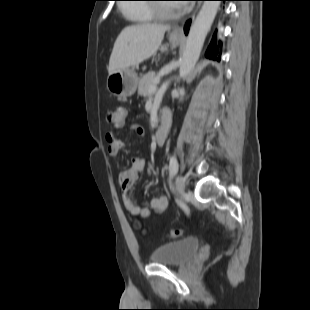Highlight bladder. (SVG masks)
I'll return each mask as SVG.
<instances>
[{
	"instance_id": "1",
	"label": "bladder",
	"mask_w": 310,
	"mask_h": 310,
	"mask_svg": "<svg viewBox=\"0 0 310 310\" xmlns=\"http://www.w3.org/2000/svg\"><path fill=\"white\" fill-rule=\"evenodd\" d=\"M200 242L196 238H185L169 242L157 247L150 254L153 263L165 265H182L188 262L197 253Z\"/></svg>"
}]
</instances>
